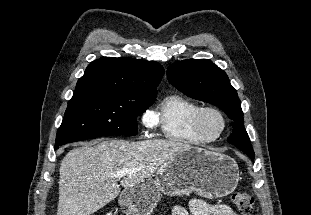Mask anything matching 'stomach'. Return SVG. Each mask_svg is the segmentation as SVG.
Returning a JSON list of instances; mask_svg holds the SVG:
<instances>
[{
	"label": "stomach",
	"instance_id": "0dacf381",
	"mask_svg": "<svg viewBox=\"0 0 311 215\" xmlns=\"http://www.w3.org/2000/svg\"><path fill=\"white\" fill-rule=\"evenodd\" d=\"M239 179V168L229 156L192 147L164 163L155 178L131 186L120 194L125 215H150L160 200L192 192L206 198H221L232 193Z\"/></svg>",
	"mask_w": 311,
	"mask_h": 215
}]
</instances>
